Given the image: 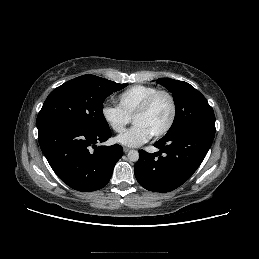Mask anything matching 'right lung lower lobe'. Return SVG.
<instances>
[{
    "label": "right lung lower lobe",
    "mask_w": 259,
    "mask_h": 259,
    "mask_svg": "<svg viewBox=\"0 0 259 259\" xmlns=\"http://www.w3.org/2000/svg\"><path fill=\"white\" fill-rule=\"evenodd\" d=\"M43 154L57 176L69 187L90 192L110 180L122 146H97L111 137V130H94L71 123H57L38 131ZM94 149V150H93Z\"/></svg>",
    "instance_id": "right-lung-lower-lobe-1"
}]
</instances>
